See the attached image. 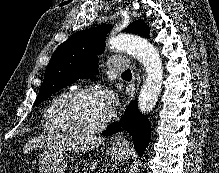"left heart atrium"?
I'll list each match as a JSON object with an SVG mask.
<instances>
[{
	"label": "left heart atrium",
	"instance_id": "1",
	"mask_svg": "<svg viewBox=\"0 0 219 173\" xmlns=\"http://www.w3.org/2000/svg\"><path fill=\"white\" fill-rule=\"evenodd\" d=\"M104 106L108 111H111L116 105V95L112 90H105L100 93Z\"/></svg>",
	"mask_w": 219,
	"mask_h": 173
}]
</instances>
